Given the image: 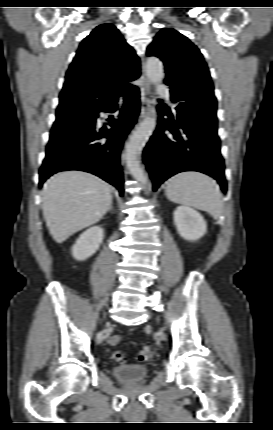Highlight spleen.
<instances>
[{
  "mask_svg": "<svg viewBox=\"0 0 273 430\" xmlns=\"http://www.w3.org/2000/svg\"><path fill=\"white\" fill-rule=\"evenodd\" d=\"M165 192L174 203L206 211L214 218L223 214L220 189L215 180L203 173L180 172L169 178Z\"/></svg>",
  "mask_w": 273,
  "mask_h": 430,
  "instance_id": "spleen-1",
  "label": "spleen"
}]
</instances>
